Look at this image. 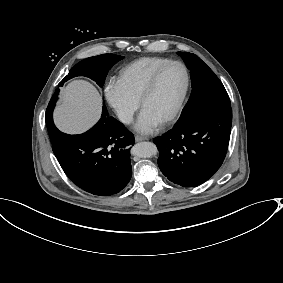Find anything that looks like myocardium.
Wrapping results in <instances>:
<instances>
[{
    "instance_id": "myocardium-1",
    "label": "myocardium",
    "mask_w": 283,
    "mask_h": 283,
    "mask_svg": "<svg viewBox=\"0 0 283 283\" xmlns=\"http://www.w3.org/2000/svg\"><path fill=\"white\" fill-rule=\"evenodd\" d=\"M180 65L185 73V85H184V89L179 97V100L175 106V108L173 109V111L166 116L164 119H162L160 122L161 123H168L170 121H172L173 119H175L177 117V115L181 112L185 99L187 97L189 88H190V82H191V75H190V71L188 66L179 60H171L167 63H165L164 65L160 66L159 68H157L146 80L145 85L143 87V90L140 94L139 97V106L142 107L143 102L151 95V93L153 92V89L159 79V77L163 74V72L169 68L172 65Z\"/></svg>"
}]
</instances>
